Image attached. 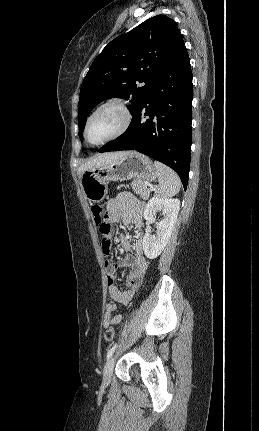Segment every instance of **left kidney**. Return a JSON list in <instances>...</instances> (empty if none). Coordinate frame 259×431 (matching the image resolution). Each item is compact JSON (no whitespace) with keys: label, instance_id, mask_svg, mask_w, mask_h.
<instances>
[{"label":"left kidney","instance_id":"1","mask_svg":"<svg viewBox=\"0 0 259 431\" xmlns=\"http://www.w3.org/2000/svg\"><path fill=\"white\" fill-rule=\"evenodd\" d=\"M180 209V201L177 198H151L144 209V219L154 221L156 213L162 211L163 218L157 225L156 235L146 232L143 237V250L147 258L155 259L158 257L169 241L174 224Z\"/></svg>","mask_w":259,"mask_h":431}]
</instances>
